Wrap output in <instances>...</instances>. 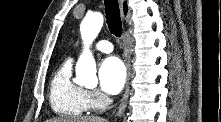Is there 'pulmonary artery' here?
<instances>
[{"instance_id": "1", "label": "pulmonary artery", "mask_w": 221, "mask_h": 122, "mask_svg": "<svg viewBox=\"0 0 221 122\" xmlns=\"http://www.w3.org/2000/svg\"><path fill=\"white\" fill-rule=\"evenodd\" d=\"M95 49L103 53H110L113 51V45L108 40H101L96 43Z\"/></svg>"}]
</instances>
